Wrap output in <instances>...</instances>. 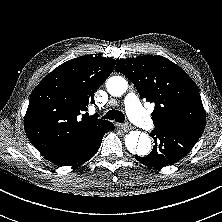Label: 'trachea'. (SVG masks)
<instances>
[{
	"mask_svg": "<svg viewBox=\"0 0 222 222\" xmlns=\"http://www.w3.org/2000/svg\"><path fill=\"white\" fill-rule=\"evenodd\" d=\"M104 119L115 120L118 123H123L125 121L124 114L119 110H109L104 116Z\"/></svg>",
	"mask_w": 222,
	"mask_h": 222,
	"instance_id": "1",
	"label": "trachea"
}]
</instances>
